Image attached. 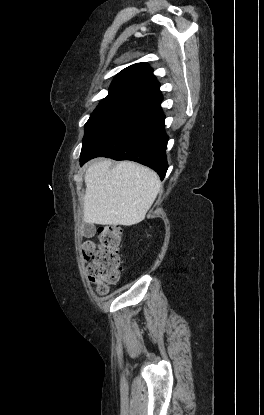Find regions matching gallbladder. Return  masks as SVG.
<instances>
[{
    "label": "gallbladder",
    "mask_w": 264,
    "mask_h": 415,
    "mask_svg": "<svg viewBox=\"0 0 264 415\" xmlns=\"http://www.w3.org/2000/svg\"><path fill=\"white\" fill-rule=\"evenodd\" d=\"M84 235L86 237H90L93 235V226L92 225H86L84 229Z\"/></svg>",
    "instance_id": "gallbladder-1"
}]
</instances>
